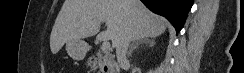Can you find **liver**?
Returning <instances> with one entry per match:
<instances>
[{"mask_svg":"<svg viewBox=\"0 0 244 73\" xmlns=\"http://www.w3.org/2000/svg\"><path fill=\"white\" fill-rule=\"evenodd\" d=\"M101 22L107 29L99 33ZM166 27L165 19L139 0H65L51 31L50 48L56 54L68 41L98 33V40H111L116 47L124 34L137 41L158 37Z\"/></svg>","mask_w":244,"mask_h":73,"instance_id":"1","label":"liver"}]
</instances>
